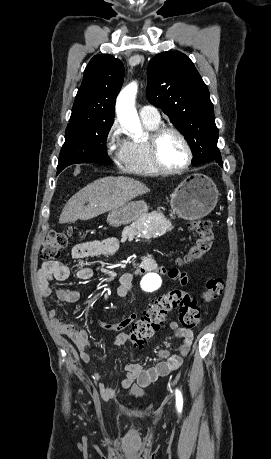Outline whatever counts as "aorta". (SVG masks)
<instances>
[{"mask_svg":"<svg viewBox=\"0 0 271 459\" xmlns=\"http://www.w3.org/2000/svg\"><path fill=\"white\" fill-rule=\"evenodd\" d=\"M137 84L131 83L119 94L116 102V113L121 124L131 132L140 134L141 123L134 107ZM161 277L155 272H149L141 279V288L147 292L156 290L161 285Z\"/></svg>","mask_w":271,"mask_h":459,"instance_id":"1","label":"aorta"}]
</instances>
